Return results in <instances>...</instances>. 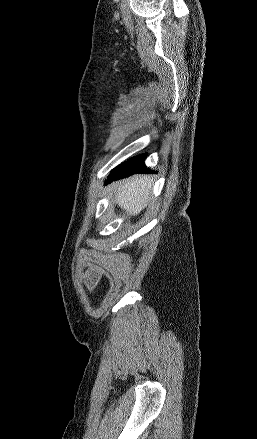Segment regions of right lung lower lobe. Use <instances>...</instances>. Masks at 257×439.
I'll return each instance as SVG.
<instances>
[{
	"instance_id": "98d812e1",
	"label": "right lung lower lobe",
	"mask_w": 257,
	"mask_h": 439,
	"mask_svg": "<svg viewBox=\"0 0 257 439\" xmlns=\"http://www.w3.org/2000/svg\"><path fill=\"white\" fill-rule=\"evenodd\" d=\"M145 156V154L138 155L117 166L111 171L106 183H110L111 181L124 178L135 173H152V171H150L143 163Z\"/></svg>"
}]
</instances>
